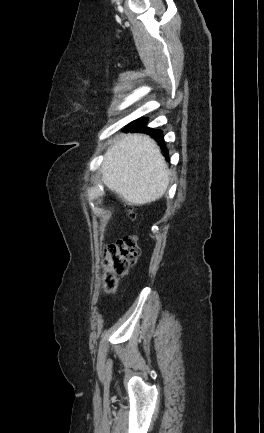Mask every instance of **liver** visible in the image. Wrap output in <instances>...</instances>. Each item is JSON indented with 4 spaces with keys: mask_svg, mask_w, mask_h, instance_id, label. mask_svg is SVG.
<instances>
[{
    "mask_svg": "<svg viewBox=\"0 0 264 433\" xmlns=\"http://www.w3.org/2000/svg\"><path fill=\"white\" fill-rule=\"evenodd\" d=\"M105 185L128 204L142 206L161 198L169 170L157 143L144 134H128L108 148L102 163Z\"/></svg>",
    "mask_w": 264,
    "mask_h": 433,
    "instance_id": "6515ba94",
    "label": "liver"
}]
</instances>
